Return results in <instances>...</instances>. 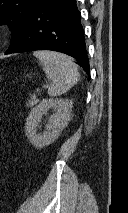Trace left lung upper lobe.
<instances>
[{"label": "left lung upper lobe", "instance_id": "obj_1", "mask_svg": "<svg viewBox=\"0 0 128 213\" xmlns=\"http://www.w3.org/2000/svg\"><path fill=\"white\" fill-rule=\"evenodd\" d=\"M38 0H0V24L11 29V44L25 25Z\"/></svg>", "mask_w": 128, "mask_h": 213}]
</instances>
